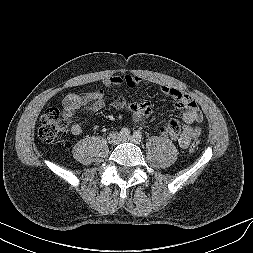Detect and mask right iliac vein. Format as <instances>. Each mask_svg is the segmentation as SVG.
<instances>
[{
	"label": "right iliac vein",
	"mask_w": 253,
	"mask_h": 253,
	"mask_svg": "<svg viewBox=\"0 0 253 253\" xmlns=\"http://www.w3.org/2000/svg\"><path fill=\"white\" fill-rule=\"evenodd\" d=\"M121 137L118 133H112L108 137V142L112 145H117L120 143Z\"/></svg>",
	"instance_id": "right-iliac-vein-1"
}]
</instances>
